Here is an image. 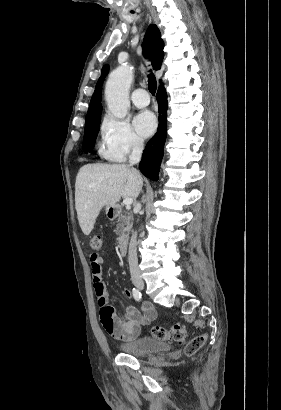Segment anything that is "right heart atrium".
I'll return each instance as SVG.
<instances>
[{
	"label": "right heart atrium",
	"mask_w": 281,
	"mask_h": 410,
	"mask_svg": "<svg viewBox=\"0 0 281 410\" xmlns=\"http://www.w3.org/2000/svg\"><path fill=\"white\" fill-rule=\"evenodd\" d=\"M102 153L111 161H123L131 153L143 149V140L129 122L106 115L101 123Z\"/></svg>",
	"instance_id": "1"
}]
</instances>
